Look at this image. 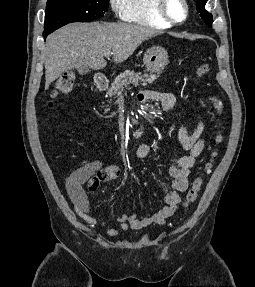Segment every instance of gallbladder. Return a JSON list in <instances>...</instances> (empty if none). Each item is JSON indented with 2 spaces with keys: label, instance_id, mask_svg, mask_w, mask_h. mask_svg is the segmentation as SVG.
Listing matches in <instances>:
<instances>
[{
  "label": "gallbladder",
  "instance_id": "bac80fb5",
  "mask_svg": "<svg viewBox=\"0 0 255 287\" xmlns=\"http://www.w3.org/2000/svg\"><path fill=\"white\" fill-rule=\"evenodd\" d=\"M79 74H87L89 72L88 68H77Z\"/></svg>",
  "mask_w": 255,
  "mask_h": 287
}]
</instances>
